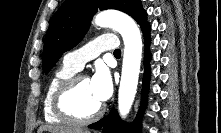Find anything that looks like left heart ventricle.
Masks as SVG:
<instances>
[{"mask_svg":"<svg viewBox=\"0 0 221 133\" xmlns=\"http://www.w3.org/2000/svg\"><path fill=\"white\" fill-rule=\"evenodd\" d=\"M70 109L80 117L92 115L102 104L95 96L89 78L83 79L68 101Z\"/></svg>","mask_w":221,"mask_h":133,"instance_id":"b2bd125f","label":"left heart ventricle"}]
</instances>
